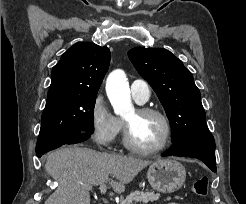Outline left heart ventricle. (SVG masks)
<instances>
[{
    "label": "left heart ventricle",
    "mask_w": 246,
    "mask_h": 204,
    "mask_svg": "<svg viewBox=\"0 0 246 204\" xmlns=\"http://www.w3.org/2000/svg\"><path fill=\"white\" fill-rule=\"evenodd\" d=\"M128 122L132 139L143 148H153L159 145L164 137L165 126L155 115H140L136 110L125 117Z\"/></svg>",
    "instance_id": "obj_1"
}]
</instances>
